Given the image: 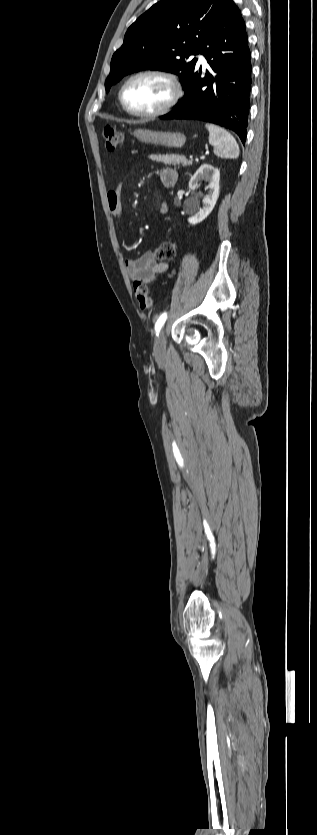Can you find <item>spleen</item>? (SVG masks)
Returning a JSON list of instances; mask_svg holds the SVG:
<instances>
[{
  "label": "spleen",
  "mask_w": 317,
  "mask_h": 835,
  "mask_svg": "<svg viewBox=\"0 0 317 835\" xmlns=\"http://www.w3.org/2000/svg\"><path fill=\"white\" fill-rule=\"evenodd\" d=\"M209 143L214 148V154L221 158L235 159L239 156V146L235 138L224 128L207 123Z\"/></svg>",
  "instance_id": "1"
}]
</instances>
